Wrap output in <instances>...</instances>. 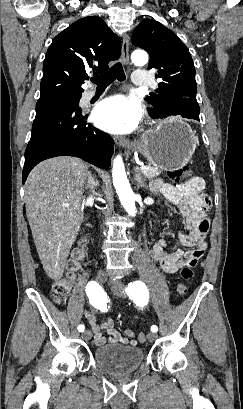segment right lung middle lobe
<instances>
[{
	"label": "right lung middle lobe",
	"mask_w": 243,
	"mask_h": 409,
	"mask_svg": "<svg viewBox=\"0 0 243 409\" xmlns=\"http://www.w3.org/2000/svg\"><path fill=\"white\" fill-rule=\"evenodd\" d=\"M81 96H73V97H64V98H57V99H52L49 101H55V102H64V103H79Z\"/></svg>",
	"instance_id": "1"
}]
</instances>
